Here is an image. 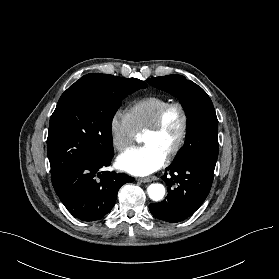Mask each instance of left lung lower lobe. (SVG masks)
I'll return each mask as SVG.
<instances>
[{"label": "left lung lower lobe", "mask_w": 279, "mask_h": 279, "mask_svg": "<svg viewBox=\"0 0 279 279\" xmlns=\"http://www.w3.org/2000/svg\"><path fill=\"white\" fill-rule=\"evenodd\" d=\"M162 179L168 195L160 203H151L150 212L166 222H180L191 216L204 202L213 181V172L194 163L170 165Z\"/></svg>", "instance_id": "obj_1"}]
</instances>
